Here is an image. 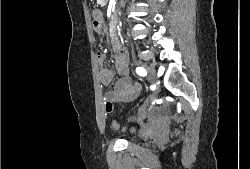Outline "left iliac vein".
<instances>
[{"label":"left iliac vein","instance_id":"1","mask_svg":"<svg viewBox=\"0 0 250 169\" xmlns=\"http://www.w3.org/2000/svg\"><path fill=\"white\" fill-rule=\"evenodd\" d=\"M146 71H147V74H148V80L155 83V84H158V80H157V74H156V70L153 66H148L146 68ZM152 103V101H149L147 103V106H150ZM142 110L139 111V113L141 112Z\"/></svg>","mask_w":250,"mask_h":169}]
</instances>
